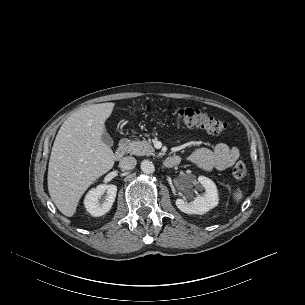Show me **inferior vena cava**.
<instances>
[{
    "instance_id": "602c4592",
    "label": "inferior vena cava",
    "mask_w": 305,
    "mask_h": 305,
    "mask_svg": "<svg viewBox=\"0 0 305 305\" xmlns=\"http://www.w3.org/2000/svg\"><path fill=\"white\" fill-rule=\"evenodd\" d=\"M137 164V160L133 157L127 156L120 160L119 165L122 169L131 170Z\"/></svg>"
}]
</instances>
